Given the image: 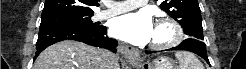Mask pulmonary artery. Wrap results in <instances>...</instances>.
<instances>
[{"mask_svg": "<svg viewBox=\"0 0 246 69\" xmlns=\"http://www.w3.org/2000/svg\"><path fill=\"white\" fill-rule=\"evenodd\" d=\"M147 4V1L143 0H132V1H125V2H118V3H112L108 4L109 9L108 10H103L99 11L97 13V18L98 19H106L111 16L135 9V8H140L144 5Z\"/></svg>", "mask_w": 246, "mask_h": 69, "instance_id": "obj_1", "label": "pulmonary artery"}]
</instances>
